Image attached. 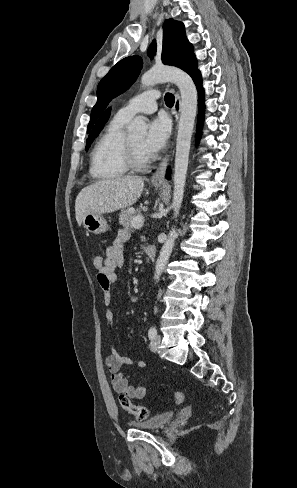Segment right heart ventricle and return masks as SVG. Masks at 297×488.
Returning <instances> with one entry per match:
<instances>
[{
  "instance_id": "right-heart-ventricle-1",
  "label": "right heart ventricle",
  "mask_w": 297,
  "mask_h": 488,
  "mask_svg": "<svg viewBox=\"0 0 297 488\" xmlns=\"http://www.w3.org/2000/svg\"><path fill=\"white\" fill-rule=\"evenodd\" d=\"M128 119L116 115L96 140L91 152L90 174L96 180H115L128 171L125 161Z\"/></svg>"
}]
</instances>
